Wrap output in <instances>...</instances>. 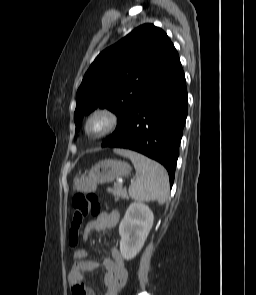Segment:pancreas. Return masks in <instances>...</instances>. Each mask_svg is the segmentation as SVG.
<instances>
[{
  "label": "pancreas",
  "instance_id": "1",
  "mask_svg": "<svg viewBox=\"0 0 256 295\" xmlns=\"http://www.w3.org/2000/svg\"><path fill=\"white\" fill-rule=\"evenodd\" d=\"M109 191L113 194L116 201H118L120 198H127V191L120 184H117L113 189H110Z\"/></svg>",
  "mask_w": 256,
  "mask_h": 295
}]
</instances>
